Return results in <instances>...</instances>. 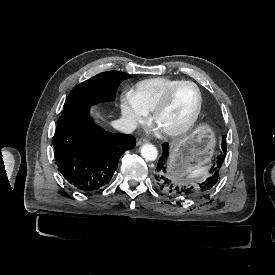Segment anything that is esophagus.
<instances>
[{
  "label": "esophagus",
  "instance_id": "34e87169",
  "mask_svg": "<svg viewBox=\"0 0 275 275\" xmlns=\"http://www.w3.org/2000/svg\"><path fill=\"white\" fill-rule=\"evenodd\" d=\"M147 142H148L147 139L141 138V139L138 140L137 145H142V144L147 143Z\"/></svg>",
  "mask_w": 275,
  "mask_h": 275
}]
</instances>
